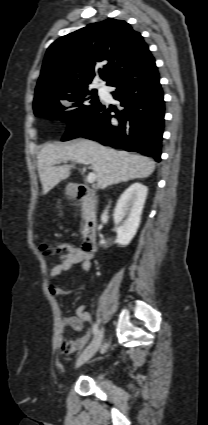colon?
<instances>
[{
  "label": "colon",
  "mask_w": 208,
  "mask_h": 425,
  "mask_svg": "<svg viewBox=\"0 0 208 425\" xmlns=\"http://www.w3.org/2000/svg\"><path fill=\"white\" fill-rule=\"evenodd\" d=\"M40 250L42 252V254L46 257H52L55 256L56 254H58V249L48 243H42L40 245Z\"/></svg>",
  "instance_id": "1"
}]
</instances>
